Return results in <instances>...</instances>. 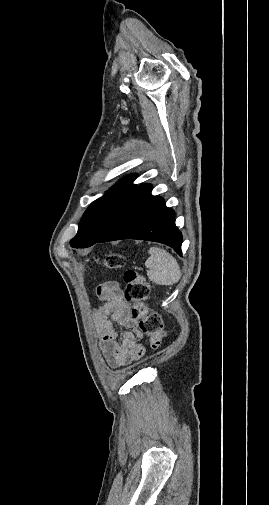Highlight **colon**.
<instances>
[{"instance_id": "1", "label": "colon", "mask_w": 269, "mask_h": 505, "mask_svg": "<svg viewBox=\"0 0 269 505\" xmlns=\"http://www.w3.org/2000/svg\"><path fill=\"white\" fill-rule=\"evenodd\" d=\"M102 263L108 269H119L124 266L125 258L119 253H109ZM124 281V297L133 303L132 317L138 321L140 331L147 336L151 349H159L165 338L164 323L161 315L149 310L146 305L150 293L149 281L134 269L125 272Z\"/></svg>"}]
</instances>
